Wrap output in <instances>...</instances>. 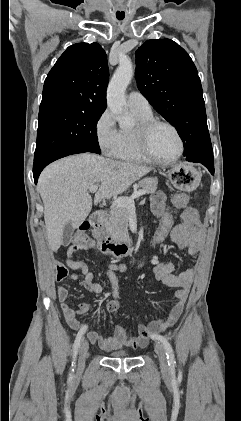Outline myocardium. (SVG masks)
I'll return each mask as SVG.
<instances>
[{"mask_svg": "<svg viewBox=\"0 0 241 421\" xmlns=\"http://www.w3.org/2000/svg\"><path fill=\"white\" fill-rule=\"evenodd\" d=\"M160 125L169 127L175 133L179 142L178 153L170 159L158 158L157 156L154 155V153L152 152L150 148L151 133L157 126H160ZM136 137H137L138 146L141 152L148 160H150L153 163L160 164V165H169L178 161L184 153L185 144H184V140L179 129L173 123L167 120L152 118L138 124L136 128Z\"/></svg>", "mask_w": 241, "mask_h": 421, "instance_id": "1", "label": "myocardium"}]
</instances>
